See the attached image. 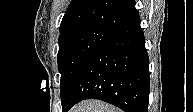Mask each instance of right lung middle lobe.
<instances>
[{
    "label": "right lung middle lobe",
    "instance_id": "obj_1",
    "mask_svg": "<svg viewBox=\"0 0 193 112\" xmlns=\"http://www.w3.org/2000/svg\"><path fill=\"white\" fill-rule=\"evenodd\" d=\"M114 31L97 26H80L60 33L58 69L61 73V103L68 97L73 82L88 58Z\"/></svg>",
    "mask_w": 193,
    "mask_h": 112
}]
</instances>
